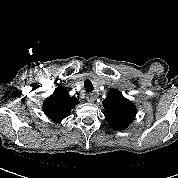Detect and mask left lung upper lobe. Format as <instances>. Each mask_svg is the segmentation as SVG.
<instances>
[{
    "label": "left lung upper lobe",
    "instance_id": "5c2ea615",
    "mask_svg": "<svg viewBox=\"0 0 178 178\" xmlns=\"http://www.w3.org/2000/svg\"><path fill=\"white\" fill-rule=\"evenodd\" d=\"M105 118L116 130L127 128L136 116V108L119 90L113 89L107 93L103 101Z\"/></svg>",
    "mask_w": 178,
    "mask_h": 178
}]
</instances>
